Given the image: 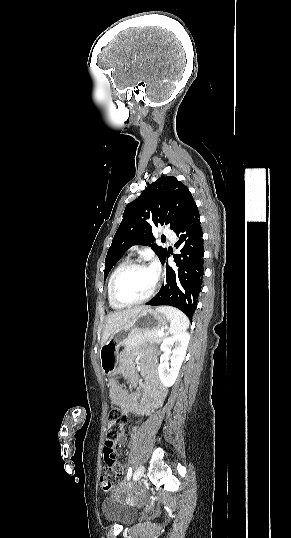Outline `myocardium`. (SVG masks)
Wrapping results in <instances>:
<instances>
[{"label": "myocardium", "mask_w": 291, "mask_h": 538, "mask_svg": "<svg viewBox=\"0 0 291 538\" xmlns=\"http://www.w3.org/2000/svg\"><path fill=\"white\" fill-rule=\"evenodd\" d=\"M135 269H151V267L148 266L146 263H143V262L129 263L127 266L122 268L116 274V276L114 277V279L112 281L111 296H112L113 301L116 304L120 305V306H133V305H137V304H142V303L148 301L149 299H151L153 297V295L155 294V292L157 291L158 287H159V274H156L153 287L151 288V290L149 291V293L147 295H145L144 297H142L140 299L132 300V301H125V300L120 299L119 296H118V293H117V286H118L119 280L126 273H128V272H130L132 270H135Z\"/></svg>", "instance_id": "f54148a6"}]
</instances>
